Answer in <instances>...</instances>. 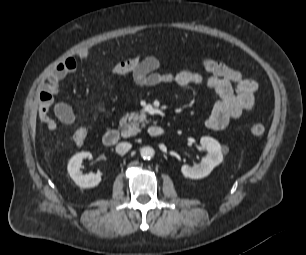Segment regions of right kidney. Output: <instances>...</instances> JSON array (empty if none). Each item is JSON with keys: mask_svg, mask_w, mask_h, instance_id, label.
I'll return each instance as SVG.
<instances>
[{"mask_svg": "<svg viewBox=\"0 0 306 255\" xmlns=\"http://www.w3.org/2000/svg\"><path fill=\"white\" fill-rule=\"evenodd\" d=\"M92 158L89 152H80L75 154L68 162L67 170L73 181L81 188H92L101 182L100 174H84L81 170V163L83 159Z\"/></svg>", "mask_w": 306, "mask_h": 255, "instance_id": "right-kidney-1", "label": "right kidney"}]
</instances>
